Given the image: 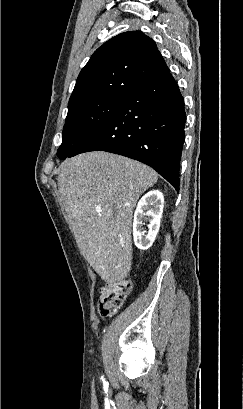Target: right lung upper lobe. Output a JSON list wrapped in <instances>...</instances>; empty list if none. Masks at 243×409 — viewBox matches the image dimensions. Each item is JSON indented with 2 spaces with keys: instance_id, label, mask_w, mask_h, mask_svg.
<instances>
[{
  "instance_id": "cb5924a9",
  "label": "right lung upper lobe",
  "mask_w": 243,
  "mask_h": 409,
  "mask_svg": "<svg viewBox=\"0 0 243 409\" xmlns=\"http://www.w3.org/2000/svg\"><path fill=\"white\" fill-rule=\"evenodd\" d=\"M168 74L153 39L140 31L124 32L93 53L78 76L69 105L100 98H127Z\"/></svg>"
}]
</instances>
